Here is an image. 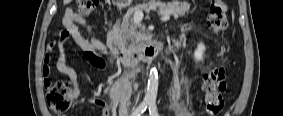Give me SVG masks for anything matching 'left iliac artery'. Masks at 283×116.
Instances as JSON below:
<instances>
[{"instance_id":"left-iliac-artery-1","label":"left iliac artery","mask_w":283,"mask_h":116,"mask_svg":"<svg viewBox=\"0 0 283 116\" xmlns=\"http://www.w3.org/2000/svg\"><path fill=\"white\" fill-rule=\"evenodd\" d=\"M149 114L151 116H159V113L157 111V106H156V103L155 102H151L149 104Z\"/></svg>"}]
</instances>
